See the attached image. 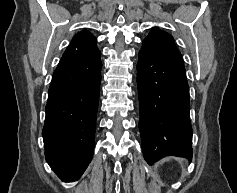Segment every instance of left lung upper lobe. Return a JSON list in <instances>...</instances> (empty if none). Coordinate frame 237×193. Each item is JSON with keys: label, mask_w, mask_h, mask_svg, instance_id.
I'll return each instance as SVG.
<instances>
[{"label": "left lung upper lobe", "mask_w": 237, "mask_h": 193, "mask_svg": "<svg viewBox=\"0 0 237 193\" xmlns=\"http://www.w3.org/2000/svg\"><path fill=\"white\" fill-rule=\"evenodd\" d=\"M144 40L182 57L175 45L173 37L163 30L153 28Z\"/></svg>", "instance_id": "5c2ea615"}]
</instances>
